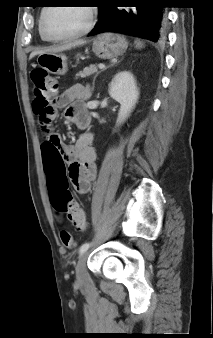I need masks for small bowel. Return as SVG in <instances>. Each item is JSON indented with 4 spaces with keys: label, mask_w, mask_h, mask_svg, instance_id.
<instances>
[{
    "label": "small bowel",
    "mask_w": 213,
    "mask_h": 338,
    "mask_svg": "<svg viewBox=\"0 0 213 338\" xmlns=\"http://www.w3.org/2000/svg\"><path fill=\"white\" fill-rule=\"evenodd\" d=\"M88 95L89 92L83 85L76 84L59 94L54 106L66 108L65 118L84 128L89 120L80 106ZM92 143L93 135L85 133L73 146L61 143L50 151L43 149V166L50 190L58 183L70 181L77 193L87 194L90 191L91 181L96 176V153Z\"/></svg>",
    "instance_id": "c3829d8e"
}]
</instances>
